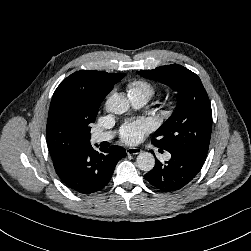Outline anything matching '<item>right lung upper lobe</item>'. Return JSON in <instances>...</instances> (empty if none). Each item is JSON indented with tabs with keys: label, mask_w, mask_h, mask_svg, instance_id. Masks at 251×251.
Instances as JSON below:
<instances>
[{
	"label": "right lung upper lobe",
	"mask_w": 251,
	"mask_h": 251,
	"mask_svg": "<svg viewBox=\"0 0 251 251\" xmlns=\"http://www.w3.org/2000/svg\"><path fill=\"white\" fill-rule=\"evenodd\" d=\"M125 74L80 70L55 90L47 120V143L54 168L61 170L82 148L90 145V124L95 122L105 96Z\"/></svg>",
	"instance_id": "obj_1"
}]
</instances>
